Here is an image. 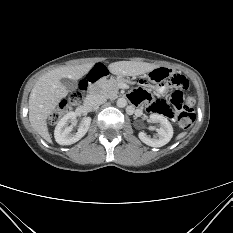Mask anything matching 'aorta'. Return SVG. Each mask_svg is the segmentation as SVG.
<instances>
[{"label": "aorta", "mask_w": 233, "mask_h": 233, "mask_svg": "<svg viewBox=\"0 0 233 233\" xmlns=\"http://www.w3.org/2000/svg\"><path fill=\"white\" fill-rule=\"evenodd\" d=\"M116 104L119 108H124L127 105V100L125 98H119Z\"/></svg>", "instance_id": "aorta-1"}]
</instances>
